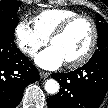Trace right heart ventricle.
Returning a JSON list of instances; mask_svg holds the SVG:
<instances>
[{"instance_id": "e07e8e85", "label": "right heart ventricle", "mask_w": 108, "mask_h": 108, "mask_svg": "<svg viewBox=\"0 0 108 108\" xmlns=\"http://www.w3.org/2000/svg\"><path fill=\"white\" fill-rule=\"evenodd\" d=\"M77 15V12L65 8L45 9L33 16L34 28L49 39L53 31L66 19Z\"/></svg>"}]
</instances>
